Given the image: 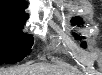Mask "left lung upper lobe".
I'll list each match as a JSON object with an SVG mask.
<instances>
[{
    "label": "left lung upper lobe",
    "mask_w": 102,
    "mask_h": 75,
    "mask_svg": "<svg viewBox=\"0 0 102 75\" xmlns=\"http://www.w3.org/2000/svg\"><path fill=\"white\" fill-rule=\"evenodd\" d=\"M73 24H80L82 23V20L79 17H75L72 19ZM76 39H81V37H77ZM82 46L85 47V43H82Z\"/></svg>",
    "instance_id": "1"
}]
</instances>
